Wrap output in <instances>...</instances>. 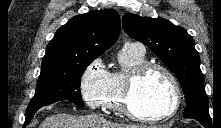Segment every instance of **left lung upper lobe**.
<instances>
[{"label":"left lung upper lobe","instance_id":"obj_1","mask_svg":"<svg viewBox=\"0 0 221 128\" xmlns=\"http://www.w3.org/2000/svg\"><path fill=\"white\" fill-rule=\"evenodd\" d=\"M122 23L127 35L145 44L178 78L187 104L183 116L211 119L200 57L187 31L163 18L131 13L124 14Z\"/></svg>","mask_w":221,"mask_h":128}]
</instances>
